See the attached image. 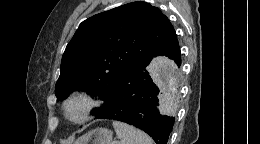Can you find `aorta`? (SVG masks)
Listing matches in <instances>:
<instances>
[{"label": "aorta", "instance_id": "762f6f07", "mask_svg": "<svg viewBox=\"0 0 260 144\" xmlns=\"http://www.w3.org/2000/svg\"><path fill=\"white\" fill-rule=\"evenodd\" d=\"M158 72H159L161 81L163 82V84H165V83L171 82V79L173 78L174 73H175V68L170 62L165 60V61L159 63ZM171 85L174 87V91H176L175 84L172 83Z\"/></svg>", "mask_w": 260, "mask_h": 144}]
</instances>
